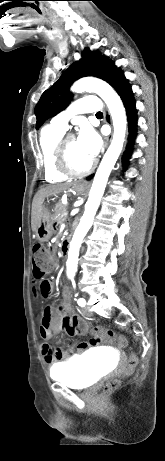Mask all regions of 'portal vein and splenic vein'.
Here are the masks:
<instances>
[{"mask_svg": "<svg viewBox=\"0 0 165 461\" xmlns=\"http://www.w3.org/2000/svg\"><path fill=\"white\" fill-rule=\"evenodd\" d=\"M68 215V211L65 210L64 213H63V216H67Z\"/></svg>", "mask_w": 165, "mask_h": 461, "instance_id": "18ae733b", "label": "portal vein and splenic vein"}]
</instances>
